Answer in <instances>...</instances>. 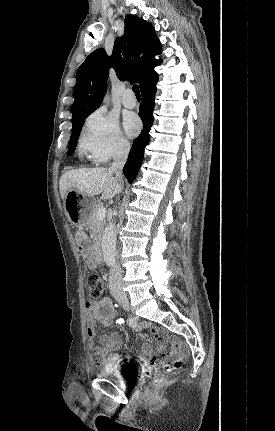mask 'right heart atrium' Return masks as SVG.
I'll list each match as a JSON object with an SVG mask.
<instances>
[{
    "instance_id": "right-heart-atrium-1",
    "label": "right heart atrium",
    "mask_w": 275,
    "mask_h": 431,
    "mask_svg": "<svg viewBox=\"0 0 275 431\" xmlns=\"http://www.w3.org/2000/svg\"><path fill=\"white\" fill-rule=\"evenodd\" d=\"M79 147L93 162L106 163L125 155L130 144L117 118L100 108L86 119L80 134Z\"/></svg>"
}]
</instances>
